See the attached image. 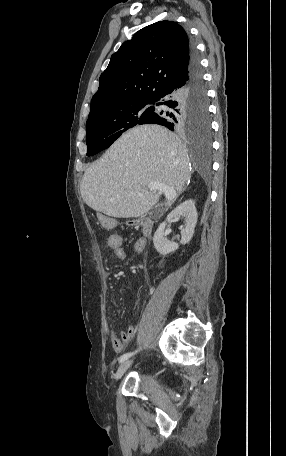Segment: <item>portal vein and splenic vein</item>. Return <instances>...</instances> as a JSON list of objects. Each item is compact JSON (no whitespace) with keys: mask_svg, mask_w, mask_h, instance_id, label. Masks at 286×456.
Returning a JSON list of instances; mask_svg holds the SVG:
<instances>
[{"mask_svg":"<svg viewBox=\"0 0 286 456\" xmlns=\"http://www.w3.org/2000/svg\"><path fill=\"white\" fill-rule=\"evenodd\" d=\"M147 188L150 191L158 190L159 192L164 193L167 201H172L176 195V192L173 188H171L163 183H160V182H150L147 185Z\"/></svg>","mask_w":286,"mask_h":456,"instance_id":"18ae733b","label":"portal vein and splenic vein"}]
</instances>
